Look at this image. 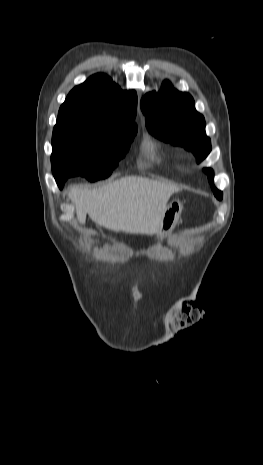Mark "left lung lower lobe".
<instances>
[{"instance_id":"obj_1","label":"left lung lower lobe","mask_w":263,"mask_h":465,"mask_svg":"<svg viewBox=\"0 0 263 465\" xmlns=\"http://www.w3.org/2000/svg\"><path fill=\"white\" fill-rule=\"evenodd\" d=\"M204 172H206L207 174L213 175L212 169L205 168V169H204Z\"/></svg>"}]
</instances>
